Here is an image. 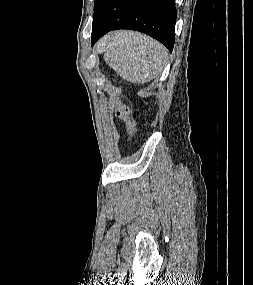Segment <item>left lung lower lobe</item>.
<instances>
[{
	"label": "left lung lower lobe",
	"instance_id": "obj_1",
	"mask_svg": "<svg viewBox=\"0 0 253 285\" xmlns=\"http://www.w3.org/2000/svg\"><path fill=\"white\" fill-rule=\"evenodd\" d=\"M177 12L175 0H107L93 22L91 43L116 29L146 33L173 50Z\"/></svg>",
	"mask_w": 253,
	"mask_h": 285
}]
</instances>
